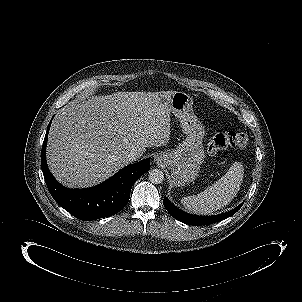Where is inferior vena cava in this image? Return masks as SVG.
<instances>
[{
  "label": "inferior vena cava",
  "mask_w": 302,
  "mask_h": 302,
  "mask_svg": "<svg viewBox=\"0 0 302 302\" xmlns=\"http://www.w3.org/2000/svg\"><path fill=\"white\" fill-rule=\"evenodd\" d=\"M141 156L142 155L138 151L131 150L125 154L124 158L127 163H132L137 161Z\"/></svg>",
  "instance_id": "1"
}]
</instances>
